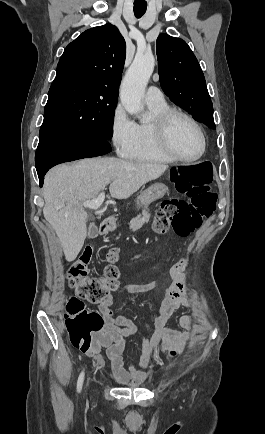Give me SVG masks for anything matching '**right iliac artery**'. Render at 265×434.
Returning <instances> with one entry per match:
<instances>
[{"label":"right iliac artery","mask_w":265,"mask_h":434,"mask_svg":"<svg viewBox=\"0 0 265 434\" xmlns=\"http://www.w3.org/2000/svg\"><path fill=\"white\" fill-rule=\"evenodd\" d=\"M83 380H84V372H81V374L79 375V378H78V382H77L78 392H80L82 389Z\"/></svg>","instance_id":"right-iliac-artery-1"}]
</instances>
